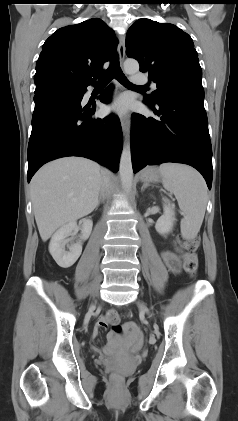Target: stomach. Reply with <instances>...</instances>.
<instances>
[{
  "label": "stomach",
  "instance_id": "obj_1",
  "mask_svg": "<svg viewBox=\"0 0 238 421\" xmlns=\"http://www.w3.org/2000/svg\"><path fill=\"white\" fill-rule=\"evenodd\" d=\"M140 178L145 182H158L160 181V172L156 167H148L141 173Z\"/></svg>",
  "mask_w": 238,
  "mask_h": 421
}]
</instances>
